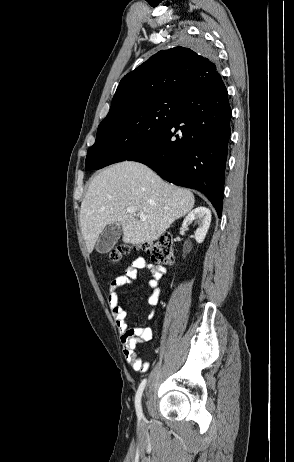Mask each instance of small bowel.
Masks as SVG:
<instances>
[{
  "label": "small bowel",
  "mask_w": 294,
  "mask_h": 462,
  "mask_svg": "<svg viewBox=\"0 0 294 462\" xmlns=\"http://www.w3.org/2000/svg\"><path fill=\"white\" fill-rule=\"evenodd\" d=\"M140 270H147L151 273L147 285L151 290L148 303L152 308L148 318L152 319L155 315V307L159 302L161 294L159 282L166 275V269L160 265L149 262L145 258H136L131 265L126 268L123 274L117 275L111 281L107 293V302L120 333L124 357L133 370L142 373L148 370L150 364L140 358L137 352V345L150 341L153 337V332L149 327H128L127 312L121 306L118 296V289L122 286L131 284L137 278Z\"/></svg>",
  "instance_id": "c3829d8e"
}]
</instances>
